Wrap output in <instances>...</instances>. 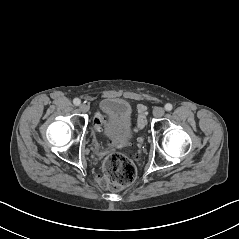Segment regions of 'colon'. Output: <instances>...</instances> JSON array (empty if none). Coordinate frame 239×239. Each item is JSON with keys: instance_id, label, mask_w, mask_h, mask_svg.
I'll list each match as a JSON object with an SVG mask.
<instances>
[{"instance_id": "colon-1", "label": "colon", "mask_w": 239, "mask_h": 239, "mask_svg": "<svg viewBox=\"0 0 239 239\" xmlns=\"http://www.w3.org/2000/svg\"><path fill=\"white\" fill-rule=\"evenodd\" d=\"M138 113L137 129L140 130L144 127L146 122V107L144 105H139ZM104 119L102 115L97 114L94 125L99 128L103 124ZM135 177L136 168L134 163L123 154L111 153L107 155L103 161L99 182L105 188L120 190L130 185Z\"/></svg>"}]
</instances>
